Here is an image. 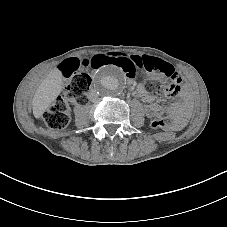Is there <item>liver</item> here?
Listing matches in <instances>:
<instances>
[{
  "mask_svg": "<svg viewBox=\"0 0 227 227\" xmlns=\"http://www.w3.org/2000/svg\"><path fill=\"white\" fill-rule=\"evenodd\" d=\"M61 81V74L57 70H52L42 81L32 101L33 114L36 118L41 117L50 103L59 95Z\"/></svg>",
  "mask_w": 227,
  "mask_h": 227,
  "instance_id": "obj_1",
  "label": "liver"
}]
</instances>
